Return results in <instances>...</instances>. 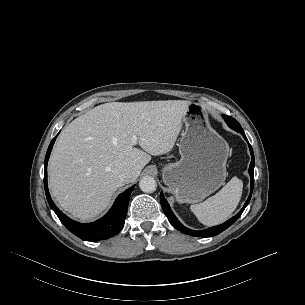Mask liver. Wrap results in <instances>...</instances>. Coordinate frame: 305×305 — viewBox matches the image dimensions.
<instances>
[{
    "mask_svg": "<svg viewBox=\"0 0 305 305\" xmlns=\"http://www.w3.org/2000/svg\"><path fill=\"white\" fill-rule=\"evenodd\" d=\"M190 103L111 102L74 119L58 137L48 165L49 188L61 208L84 222L101 213L125 184L122 170H130L134 182L151 155L173 149Z\"/></svg>",
    "mask_w": 305,
    "mask_h": 305,
    "instance_id": "obj_1",
    "label": "liver"
}]
</instances>
